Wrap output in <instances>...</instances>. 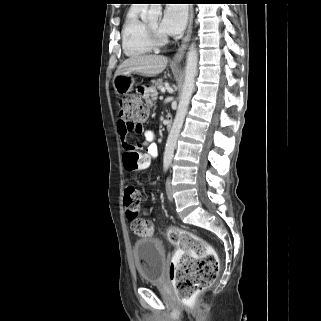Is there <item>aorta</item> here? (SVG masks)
Returning <instances> with one entry per match:
<instances>
[{
	"instance_id": "1",
	"label": "aorta",
	"mask_w": 321,
	"mask_h": 321,
	"mask_svg": "<svg viewBox=\"0 0 321 321\" xmlns=\"http://www.w3.org/2000/svg\"><path fill=\"white\" fill-rule=\"evenodd\" d=\"M162 15L161 4H150L147 11V16L150 19L158 18ZM197 64H198V52L196 44L192 43L189 47L186 57V68H185V80L182 88V92L179 99V105L176 112V116L168 135L165 152H164V163L170 164L173 159L174 150L176 147L177 139L180 130L183 126V122L189 107L190 99L192 97L195 88V78L197 75Z\"/></svg>"
}]
</instances>
